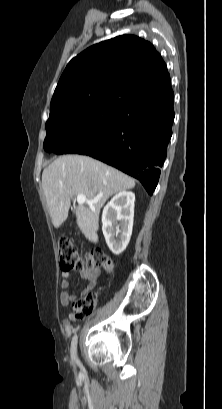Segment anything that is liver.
<instances>
[{"label": "liver", "instance_id": "6515ba94", "mask_svg": "<svg viewBox=\"0 0 222 409\" xmlns=\"http://www.w3.org/2000/svg\"><path fill=\"white\" fill-rule=\"evenodd\" d=\"M42 187L55 228L67 219L76 195L96 200L88 207L78 205L74 212L81 232L90 242L97 243L101 208L112 195L134 188L135 180L91 157L65 155L43 170Z\"/></svg>", "mask_w": 222, "mask_h": 409}]
</instances>
